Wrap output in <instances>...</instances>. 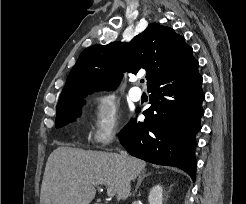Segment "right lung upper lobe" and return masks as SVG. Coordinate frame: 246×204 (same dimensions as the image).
<instances>
[{
    "instance_id": "cb5924a9",
    "label": "right lung upper lobe",
    "mask_w": 246,
    "mask_h": 204,
    "mask_svg": "<svg viewBox=\"0 0 246 204\" xmlns=\"http://www.w3.org/2000/svg\"><path fill=\"white\" fill-rule=\"evenodd\" d=\"M195 60L192 48L172 28L150 24L130 43L93 45L79 56L66 81L59 100L115 89L123 72L147 71L149 86L162 76L185 68Z\"/></svg>"
}]
</instances>
